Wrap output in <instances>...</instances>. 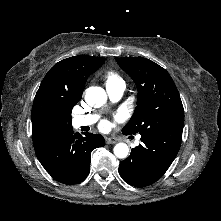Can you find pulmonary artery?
I'll list each match as a JSON object with an SVG mask.
<instances>
[{
	"label": "pulmonary artery",
	"mask_w": 221,
	"mask_h": 221,
	"mask_svg": "<svg viewBox=\"0 0 221 221\" xmlns=\"http://www.w3.org/2000/svg\"><path fill=\"white\" fill-rule=\"evenodd\" d=\"M106 90L109 95V98L115 102L122 97L125 90V85L124 83L109 85L106 86ZM97 119L98 116L94 114L78 115L74 117L73 123L76 127L88 126L94 124L97 121ZM137 139L139 140L140 137H138Z\"/></svg>",
	"instance_id": "e3ab8cb5"
}]
</instances>
